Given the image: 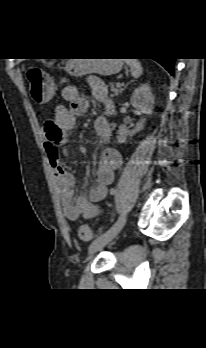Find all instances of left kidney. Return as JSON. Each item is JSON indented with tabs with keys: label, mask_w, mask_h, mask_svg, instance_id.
Wrapping results in <instances>:
<instances>
[{
	"label": "left kidney",
	"mask_w": 206,
	"mask_h": 348,
	"mask_svg": "<svg viewBox=\"0 0 206 348\" xmlns=\"http://www.w3.org/2000/svg\"><path fill=\"white\" fill-rule=\"evenodd\" d=\"M131 105L136 108L142 114H150L154 103L155 96L151 91V87L148 84H143L138 87L131 97ZM146 122L145 118H141L133 130H129L125 125H120L118 128L117 140L119 143L126 142L128 136H133L137 132L141 131L144 128Z\"/></svg>",
	"instance_id": "obj_1"
}]
</instances>
